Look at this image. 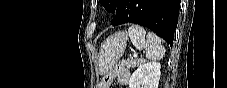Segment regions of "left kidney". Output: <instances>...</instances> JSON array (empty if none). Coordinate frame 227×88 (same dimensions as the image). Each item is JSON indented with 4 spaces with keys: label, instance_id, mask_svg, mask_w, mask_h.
Masks as SVG:
<instances>
[{
    "label": "left kidney",
    "instance_id": "obj_1",
    "mask_svg": "<svg viewBox=\"0 0 227 88\" xmlns=\"http://www.w3.org/2000/svg\"><path fill=\"white\" fill-rule=\"evenodd\" d=\"M161 65L158 62L144 63L129 80V88H158Z\"/></svg>",
    "mask_w": 227,
    "mask_h": 88
}]
</instances>
